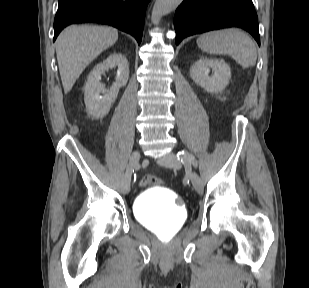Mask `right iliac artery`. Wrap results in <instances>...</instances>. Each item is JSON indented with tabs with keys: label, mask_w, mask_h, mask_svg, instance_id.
<instances>
[{
	"label": "right iliac artery",
	"mask_w": 309,
	"mask_h": 288,
	"mask_svg": "<svg viewBox=\"0 0 309 288\" xmlns=\"http://www.w3.org/2000/svg\"><path fill=\"white\" fill-rule=\"evenodd\" d=\"M132 164H133V168H136V169H137V168H140V167H139L140 165H139V161H138V160H135L134 163H132ZM127 168H128V169H131V168H132V165H131V164H128V165H127ZM128 172H129V171H128ZM129 175H130V174H129Z\"/></svg>",
	"instance_id": "82829eb1"
}]
</instances>
